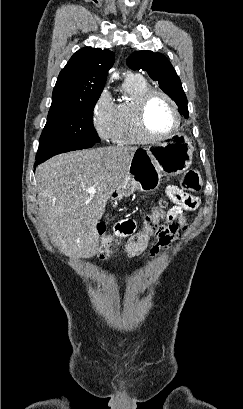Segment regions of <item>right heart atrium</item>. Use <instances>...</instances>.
<instances>
[{
	"instance_id": "d8ad5b80",
	"label": "right heart atrium",
	"mask_w": 243,
	"mask_h": 409,
	"mask_svg": "<svg viewBox=\"0 0 243 409\" xmlns=\"http://www.w3.org/2000/svg\"><path fill=\"white\" fill-rule=\"evenodd\" d=\"M115 122V104L109 92L103 90L92 108V126L101 139L109 141L113 138Z\"/></svg>"
}]
</instances>
